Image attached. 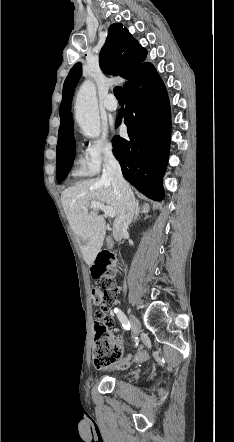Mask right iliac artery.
Here are the masks:
<instances>
[{
	"mask_svg": "<svg viewBox=\"0 0 234 442\" xmlns=\"http://www.w3.org/2000/svg\"><path fill=\"white\" fill-rule=\"evenodd\" d=\"M114 311L117 314V317L119 318L120 322L122 323V326L126 330H129L130 329V323H129L126 315L121 310H119L118 308H115Z\"/></svg>",
	"mask_w": 234,
	"mask_h": 442,
	"instance_id": "obj_1",
	"label": "right iliac artery"
}]
</instances>
